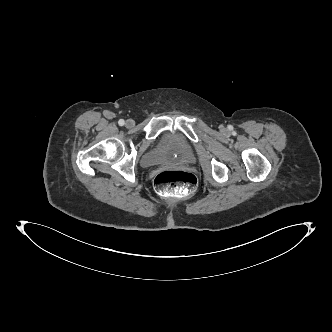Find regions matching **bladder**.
I'll return each mask as SVG.
<instances>
[{"mask_svg":"<svg viewBox=\"0 0 332 332\" xmlns=\"http://www.w3.org/2000/svg\"><path fill=\"white\" fill-rule=\"evenodd\" d=\"M195 160V153L189 141L176 134L165 135L157 149L145 153L140 160L143 167L169 164H189Z\"/></svg>","mask_w":332,"mask_h":332,"instance_id":"1","label":"bladder"}]
</instances>
